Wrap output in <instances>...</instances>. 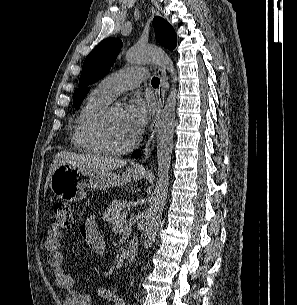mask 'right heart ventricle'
<instances>
[{
  "label": "right heart ventricle",
  "instance_id": "1",
  "mask_svg": "<svg viewBox=\"0 0 297 305\" xmlns=\"http://www.w3.org/2000/svg\"><path fill=\"white\" fill-rule=\"evenodd\" d=\"M112 100L98 86L84 100L75 117L72 127V145L82 152L101 154V148L90 138L87 127L90 120Z\"/></svg>",
  "mask_w": 297,
  "mask_h": 305
}]
</instances>
